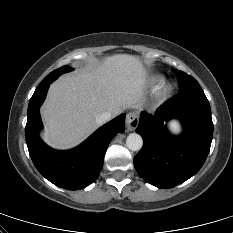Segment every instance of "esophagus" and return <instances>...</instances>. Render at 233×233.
I'll return each mask as SVG.
<instances>
[{
    "instance_id": "obj_1",
    "label": "esophagus",
    "mask_w": 233,
    "mask_h": 233,
    "mask_svg": "<svg viewBox=\"0 0 233 233\" xmlns=\"http://www.w3.org/2000/svg\"><path fill=\"white\" fill-rule=\"evenodd\" d=\"M139 124V117L137 113L135 112H130L126 116V127L129 131L135 130V128Z\"/></svg>"
}]
</instances>
